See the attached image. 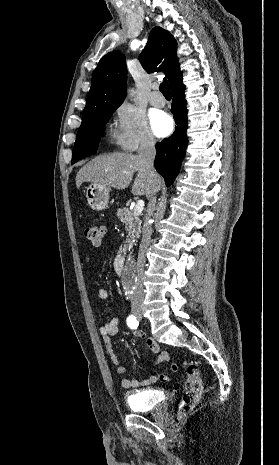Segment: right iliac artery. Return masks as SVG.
Wrapping results in <instances>:
<instances>
[{
  "instance_id": "1",
  "label": "right iliac artery",
  "mask_w": 279,
  "mask_h": 465,
  "mask_svg": "<svg viewBox=\"0 0 279 465\" xmlns=\"http://www.w3.org/2000/svg\"><path fill=\"white\" fill-rule=\"evenodd\" d=\"M138 320L136 319L135 316L133 315H130L128 318H127V325L131 328V329H137L138 327Z\"/></svg>"
}]
</instances>
